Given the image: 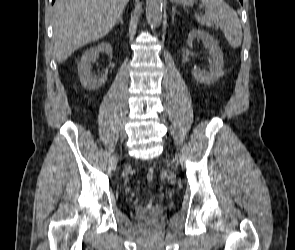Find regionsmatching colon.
I'll return each mask as SVG.
<instances>
[{"label": "colon", "instance_id": "colon-1", "mask_svg": "<svg viewBox=\"0 0 295 250\" xmlns=\"http://www.w3.org/2000/svg\"><path fill=\"white\" fill-rule=\"evenodd\" d=\"M154 177H155L154 170H152V169L148 170L147 173H146V180L148 182H151L154 179Z\"/></svg>", "mask_w": 295, "mask_h": 250}]
</instances>
